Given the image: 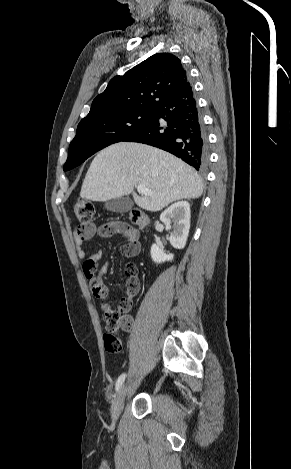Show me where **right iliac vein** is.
<instances>
[{
  "instance_id": "63e3f726",
  "label": "right iliac vein",
  "mask_w": 291,
  "mask_h": 469,
  "mask_svg": "<svg viewBox=\"0 0 291 469\" xmlns=\"http://www.w3.org/2000/svg\"><path fill=\"white\" fill-rule=\"evenodd\" d=\"M126 391H127L126 386L123 385L118 391V394L114 400V403L112 406V418L114 422H116V420L120 416V413L123 409Z\"/></svg>"
}]
</instances>
